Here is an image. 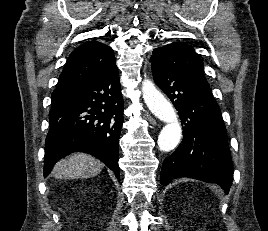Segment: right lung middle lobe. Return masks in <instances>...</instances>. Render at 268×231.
I'll return each instance as SVG.
<instances>
[{"instance_id":"obj_1","label":"right lung middle lobe","mask_w":268,"mask_h":231,"mask_svg":"<svg viewBox=\"0 0 268 231\" xmlns=\"http://www.w3.org/2000/svg\"><path fill=\"white\" fill-rule=\"evenodd\" d=\"M74 93V90H61L53 92L51 97V105L58 106L68 101L74 95Z\"/></svg>"}]
</instances>
